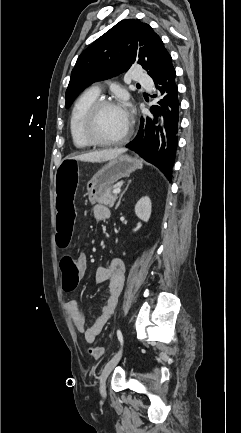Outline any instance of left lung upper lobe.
I'll use <instances>...</instances> for the list:
<instances>
[{
    "instance_id": "5c2ea615",
    "label": "left lung upper lobe",
    "mask_w": 241,
    "mask_h": 433,
    "mask_svg": "<svg viewBox=\"0 0 241 433\" xmlns=\"http://www.w3.org/2000/svg\"><path fill=\"white\" fill-rule=\"evenodd\" d=\"M164 43L146 23L134 19L119 22L85 49L75 64L66 90V106L93 82L140 64L155 81L172 64Z\"/></svg>"
}]
</instances>
